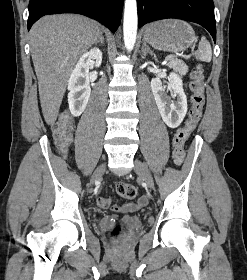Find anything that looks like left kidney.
<instances>
[{
  "instance_id": "5707ae66",
  "label": "left kidney",
  "mask_w": 247,
  "mask_h": 280,
  "mask_svg": "<svg viewBox=\"0 0 247 280\" xmlns=\"http://www.w3.org/2000/svg\"><path fill=\"white\" fill-rule=\"evenodd\" d=\"M169 78L170 84L167 91L173 92V98H176V101H171L168 98L166 88L159 78L156 77L151 80V88L163 121L168 127L176 128L182 123L187 113V98L182 79L175 73H170Z\"/></svg>"
}]
</instances>
